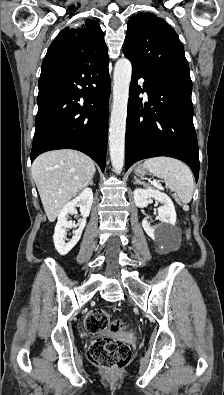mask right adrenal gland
<instances>
[{
	"label": "right adrenal gland",
	"mask_w": 224,
	"mask_h": 395,
	"mask_svg": "<svg viewBox=\"0 0 224 395\" xmlns=\"http://www.w3.org/2000/svg\"><path fill=\"white\" fill-rule=\"evenodd\" d=\"M89 184H90V185H94L93 179L90 180Z\"/></svg>",
	"instance_id": "obj_1"
}]
</instances>
